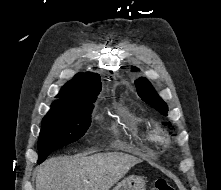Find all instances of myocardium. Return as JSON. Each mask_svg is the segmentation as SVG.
I'll list each match as a JSON object with an SVG mask.
<instances>
[{"label": "myocardium", "instance_id": "obj_1", "mask_svg": "<svg viewBox=\"0 0 221 190\" xmlns=\"http://www.w3.org/2000/svg\"><path fill=\"white\" fill-rule=\"evenodd\" d=\"M150 135L154 140L166 142V137L158 126L152 128Z\"/></svg>", "mask_w": 221, "mask_h": 190}]
</instances>
